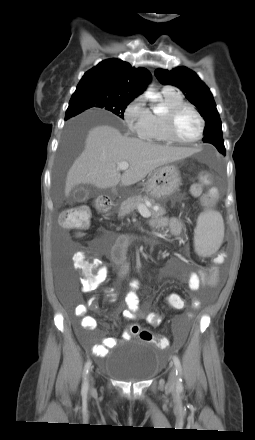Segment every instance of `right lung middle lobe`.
<instances>
[{
	"label": "right lung middle lobe",
	"instance_id": "obj_1",
	"mask_svg": "<svg viewBox=\"0 0 255 440\" xmlns=\"http://www.w3.org/2000/svg\"><path fill=\"white\" fill-rule=\"evenodd\" d=\"M132 100L117 96H108L98 92L74 93L69 102L65 118L73 117L89 108H102L123 118L127 105Z\"/></svg>",
	"mask_w": 255,
	"mask_h": 440
}]
</instances>
